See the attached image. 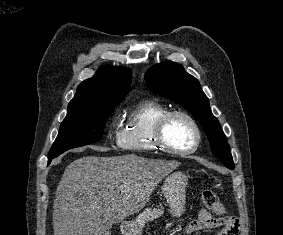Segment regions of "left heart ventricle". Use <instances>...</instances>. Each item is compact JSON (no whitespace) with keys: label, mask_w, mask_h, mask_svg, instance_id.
I'll use <instances>...</instances> for the list:
<instances>
[{"label":"left heart ventricle","mask_w":283,"mask_h":235,"mask_svg":"<svg viewBox=\"0 0 283 235\" xmlns=\"http://www.w3.org/2000/svg\"><path fill=\"white\" fill-rule=\"evenodd\" d=\"M165 139L174 149L185 150L191 148L196 139L193 126L183 117H173L165 128Z\"/></svg>","instance_id":"obj_1"}]
</instances>
